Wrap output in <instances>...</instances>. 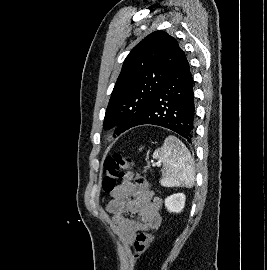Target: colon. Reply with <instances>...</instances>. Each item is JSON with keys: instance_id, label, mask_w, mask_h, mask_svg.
<instances>
[{"instance_id": "obj_1", "label": "colon", "mask_w": 267, "mask_h": 270, "mask_svg": "<svg viewBox=\"0 0 267 270\" xmlns=\"http://www.w3.org/2000/svg\"><path fill=\"white\" fill-rule=\"evenodd\" d=\"M105 175L102 182V188L105 192H112L121 178L131 174L136 184L148 185V180L140 172L133 170L131 160L118 153L108 156L104 161ZM152 236L146 231H140L136 235L134 242V259H140L149 249Z\"/></svg>"}]
</instances>
